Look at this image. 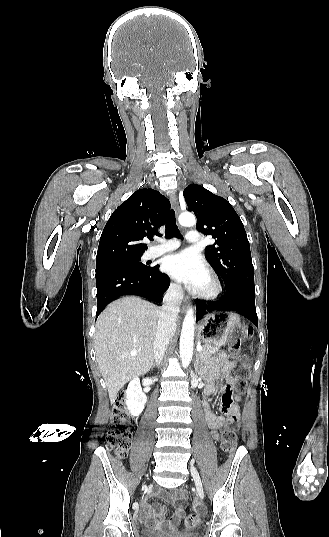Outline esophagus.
<instances>
[{"instance_id": "obj_1", "label": "esophagus", "mask_w": 329, "mask_h": 537, "mask_svg": "<svg viewBox=\"0 0 329 537\" xmlns=\"http://www.w3.org/2000/svg\"><path fill=\"white\" fill-rule=\"evenodd\" d=\"M170 202H171L172 207L175 210L176 214L178 215L179 212H180V206H179V202H178V199H177L175 194L170 195ZM187 307H188L187 300L184 299L183 305H182V310L185 311L187 309Z\"/></svg>"}]
</instances>
